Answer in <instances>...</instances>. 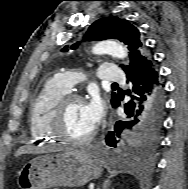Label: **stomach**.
Masks as SVG:
<instances>
[{
  "label": "stomach",
  "instance_id": "stomach-1",
  "mask_svg": "<svg viewBox=\"0 0 188 189\" xmlns=\"http://www.w3.org/2000/svg\"><path fill=\"white\" fill-rule=\"evenodd\" d=\"M101 172V162L93 154L66 151L34 158L23 166L17 182L20 189L79 187L98 178Z\"/></svg>",
  "mask_w": 188,
  "mask_h": 189
}]
</instances>
